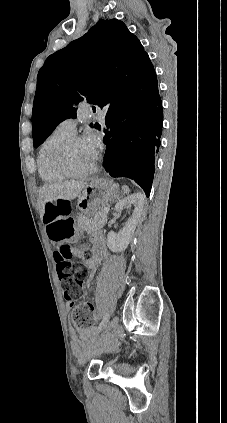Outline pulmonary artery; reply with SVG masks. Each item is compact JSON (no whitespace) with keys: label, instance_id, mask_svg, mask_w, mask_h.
Segmentation results:
<instances>
[{"label":"pulmonary artery","instance_id":"e3ab8cb5","mask_svg":"<svg viewBox=\"0 0 227 423\" xmlns=\"http://www.w3.org/2000/svg\"><path fill=\"white\" fill-rule=\"evenodd\" d=\"M92 113L91 111H79L78 112V119L79 120H91ZM76 125L77 121L73 118H69L61 122L60 127L67 131L70 134L76 133Z\"/></svg>","mask_w":227,"mask_h":423}]
</instances>
